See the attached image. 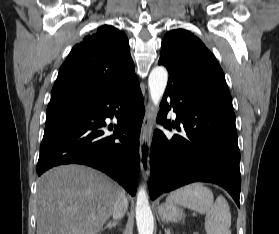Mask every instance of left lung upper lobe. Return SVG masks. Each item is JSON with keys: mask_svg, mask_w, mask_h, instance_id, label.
I'll use <instances>...</instances> for the list:
<instances>
[{"mask_svg": "<svg viewBox=\"0 0 279 234\" xmlns=\"http://www.w3.org/2000/svg\"><path fill=\"white\" fill-rule=\"evenodd\" d=\"M159 60L185 77L228 90L216 58L187 30L176 29L165 35Z\"/></svg>", "mask_w": 279, "mask_h": 234, "instance_id": "left-lung-upper-lobe-1", "label": "left lung upper lobe"}]
</instances>
